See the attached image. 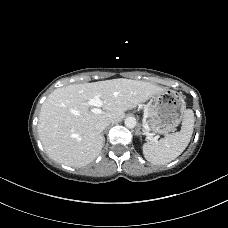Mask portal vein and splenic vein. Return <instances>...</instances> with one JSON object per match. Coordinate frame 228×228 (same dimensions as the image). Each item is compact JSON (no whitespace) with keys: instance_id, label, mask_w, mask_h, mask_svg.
I'll list each match as a JSON object with an SVG mask.
<instances>
[{"instance_id":"1","label":"portal vein and splenic vein","mask_w":228,"mask_h":228,"mask_svg":"<svg viewBox=\"0 0 228 228\" xmlns=\"http://www.w3.org/2000/svg\"><path fill=\"white\" fill-rule=\"evenodd\" d=\"M87 104L94 107L91 110L93 113H95V114L101 113L100 107L103 105V102L99 98V96H96V97L90 99L89 101H87ZM144 123H146L145 120H144Z\"/></svg>"}]
</instances>
